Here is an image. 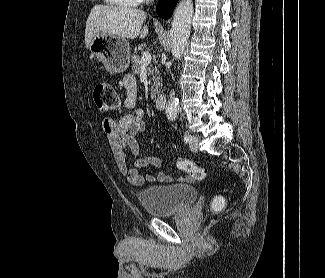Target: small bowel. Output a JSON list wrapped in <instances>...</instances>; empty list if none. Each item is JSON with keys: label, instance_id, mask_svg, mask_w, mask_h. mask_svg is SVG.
Returning a JSON list of instances; mask_svg holds the SVG:
<instances>
[{"label": "small bowel", "instance_id": "1", "mask_svg": "<svg viewBox=\"0 0 325 278\" xmlns=\"http://www.w3.org/2000/svg\"><path fill=\"white\" fill-rule=\"evenodd\" d=\"M126 91L125 108L130 112L115 120L106 118L102 128L113 152L117 167L123 177L134 186L146 182H170L171 177L162 173L141 175V169H157L162 161L157 156L143 155L140 152L137 137L145 129V111L135 108L137 88L134 78L126 75L123 78ZM133 158V166L127 164L129 157Z\"/></svg>", "mask_w": 325, "mask_h": 278}]
</instances>
